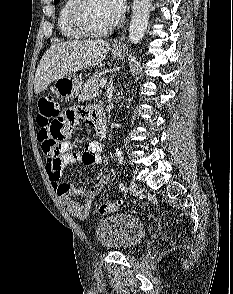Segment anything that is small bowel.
<instances>
[{"label": "small bowel", "mask_w": 233, "mask_h": 294, "mask_svg": "<svg viewBox=\"0 0 233 294\" xmlns=\"http://www.w3.org/2000/svg\"><path fill=\"white\" fill-rule=\"evenodd\" d=\"M69 107L54 110L53 114L57 117L50 120L49 126H43L38 137L46 156V171L53 189L73 217L86 220L91 215L94 199L109 181L110 172L104 169L100 179L88 188H76L61 179L62 171L67 165L78 162L88 166L102 163V145L99 141L89 142L83 151L74 150L68 142L69 137H73L72 128L79 118H83L96 130V109L79 108V104H70ZM76 197L85 198V203L80 204Z\"/></svg>", "instance_id": "1"}]
</instances>
